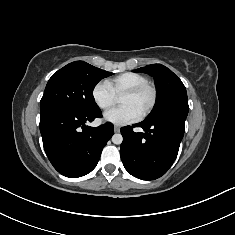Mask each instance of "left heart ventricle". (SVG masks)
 Instances as JSON below:
<instances>
[{"mask_svg":"<svg viewBox=\"0 0 235 235\" xmlns=\"http://www.w3.org/2000/svg\"><path fill=\"white\" fill-rule=\"evenodd\" d=\"M150 101L149 91H143L141 94L136 96L122 95L120 103L122 105L132 106L139 114L143 112Z\"/></svg>","mask_w":235,"mask_h":235,"instance_id":"obj_1","label":"left heart ventricle"}]
</instances>
